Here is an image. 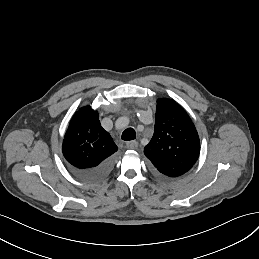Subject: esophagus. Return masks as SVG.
I'll return each mask as SVG.
<instances>
[{
  "label": "esophagus",
  "instance_id": "esophagus-1",
  "mask_svg": "<svg viewBox=\"0 0 259 259\" xmlns=\"http://www.w3.org/2000/svg\"><path fill=\"white\" fill-rule=\"evenodd\" d=\"M126 147H127L128 149H133V150H135V149L138 148V142H137V141H130V142H127Z\"/></svg>",
  "mask_w": 259,
  "mask_h": 259
}]
</instances>
